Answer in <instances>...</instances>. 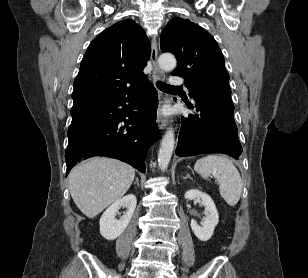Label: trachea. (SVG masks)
<instances>
[{
    "label": "trachea",
    "mask_w": 308,
    "mask_h": 278,
    "mask_svg": "<svg viewBox=\"0 0 308 278\" xmlns=\"http://www.w3.org/2000/svg\"><path fill=\"white\" fill-rule=\"evenodd\" d=\"M156 85L162 91L179 89V87L171 86V85L166 84V83L161 82V81H157Z\"/></svg>",
    "instance_id": "obj_1"
}]
</instances>
